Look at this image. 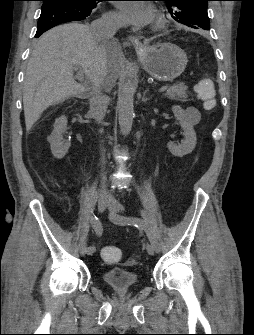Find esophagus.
I'll return each instance as SVG.
<instances>
[{"mask_svg": "<svg viewBox=\"0 0 254 335\" xmlns=\"http://www.w3.org/2000/svg\"><path fill=\"white\" fill-rule=\"evenodd\" d=\"M130 43L135 45L141 51L145 50V46L136 36H129L127 40L124 42V46H128Z\"/></svg>", "mask_w": 254, "mask_h": 335, "instance_id": "34e87169", "label": "esophagus"}]
</instances>
